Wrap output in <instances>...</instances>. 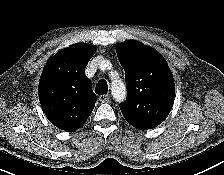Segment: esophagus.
Returning a JSON list of instances; mask_svg holds the SVG:
<instances>
[{
    "label": "esophagus",
    "mask_w": 224,
    "mask_h": 175,
    "mask_svg": "<svg viewBox=\"0 0 224 175\" xmlns=\"http://www.w3.org/2000/svg\"><path fill=\"white\" fill-rule=\"evenodd\" d=\"M110 99V96L108 94H103L99 96V101L102 103L108 102Z\"/></svg>",
    "instance_id": "obj_1"
}]
</instances>
